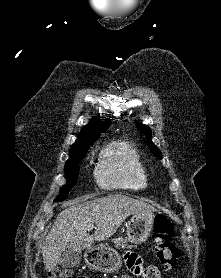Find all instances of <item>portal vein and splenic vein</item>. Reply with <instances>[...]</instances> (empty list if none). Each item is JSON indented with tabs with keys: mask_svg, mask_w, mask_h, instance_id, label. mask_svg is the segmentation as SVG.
I'll list each match as a JSON object with an SVG mask.
<instances>
[{
	"mask_svg": "<svg viewBox=\"0 0 221 278\" xmlns=\"http://www.w3.org/2000/svg\"><path fill=\"white\" fill-rule=\"evenodd\" d=\"M94 228V225L93 224H90L87 226V230H92Z\"/></svg>",
	"mask_w": 221,
	"mask_h": 278,
	"instance_id": "obj_1",
	"label": "portal vein and splenic vein"
}]
</instances>
